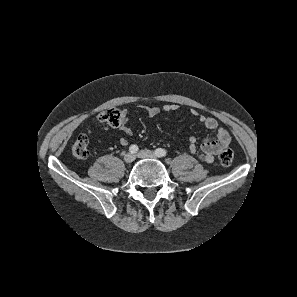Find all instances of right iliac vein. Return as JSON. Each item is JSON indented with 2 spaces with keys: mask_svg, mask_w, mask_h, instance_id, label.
Returning <instances> with one entry per match:
<instances>
[{
  "mask_svg": "<svg viewBox=\"0 0 297 297\" xmlns=\"http://www.w3.org/2000/svg\"><path fill=\"white\" fill-rule=\"evenodd\" d=\"M135 160V156L131 153H127L124 155V161L126 163H132Z\"/></svg>",
  "mask_w": 297,
  "mask_h": 297,
  "instance_id": "right-iliac-vein-1",
  "label": "right iliac vein"
}]
</instances>
